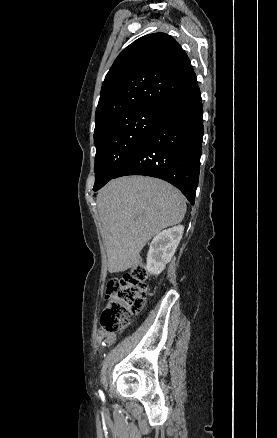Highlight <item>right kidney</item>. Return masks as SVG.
<instances>
[{"mask_svg":"<svg viewBox=\"0 0 277 438\" xmlns=\"http://www.w3.org/2000/svg\"><path fill=\"white\" fill-rule=\"evenodd\" d=\"M184 226H174L159 232L151 242L147 254L146 270L152 276H158L165 270L166 264L170 262L176 252V248L183 236Z\"/></svg>","mask_w":277,"mask_h":438,"instance_id":"ca27d5eb","label":"right kidney"}]
</instances>
